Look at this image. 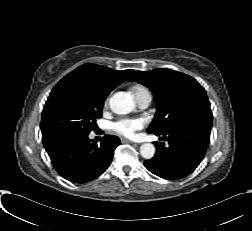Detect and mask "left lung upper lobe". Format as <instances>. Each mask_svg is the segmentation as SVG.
Segmentation results:
<instances>
[{"mask_svg":"<svg viewBox=\"0 0 252 231\" xmlns=\"http://www.w3.org/2000/svg\"><path fill=\"white\" fill-rule=\"evenodd\" d=\"M129 81L150 88L156 97L157 112L148 133L163 135L182 124L211 125L212 112L204 88L191 76L170 69L136 71Z\"/></svg>","mask_w":252,"mask_h":231,"instance_id":"obj_1","label":"left lung upper lobe"}]
</instances>
